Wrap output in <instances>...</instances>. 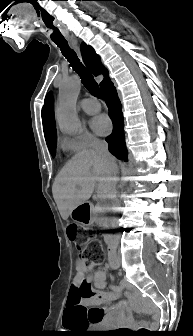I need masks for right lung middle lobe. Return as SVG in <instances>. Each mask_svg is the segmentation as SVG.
Here are the masks:
<instances>
[{"instance_id": "obj_1", "label": "right lung middle lobe", "mask_w": 193, "mask_h": 336, "mask_svg": "<svg viewBox=\"0 0 193 336\" xmlns=\"http://www.w3.org/2000/svg\"><path fill=\"white\" fill-rule=\"evenodd\" d=\"M48 149L52 155V157L55 156V147H56V137L53 138L52 140L47 142Z\"/></svg>"}]
</instances>
